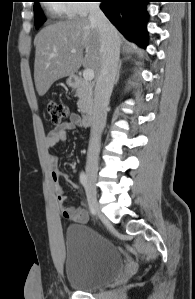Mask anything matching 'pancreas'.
<instances>
[{"instance_id": "obj_1", "label": "pancreas", "mask_w": 195, "mask_h": 299, "mask_svg": "<svg viewBox=\"0 0 195 299\" xmlns=\"http://www.w3.org/2000/svg\"><path fill=\"white\" fill-rule=\"evenodd\" d=\"M76 96L79 98L77 106L82 113L89 111L93 105L92 86L86 80H82L76 89Z\"/></svg>"}]
</instances>
